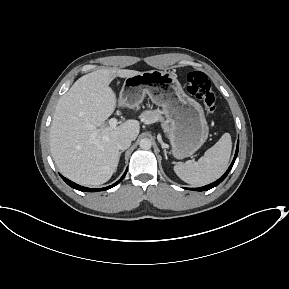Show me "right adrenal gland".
I'll return each instance as SVG.
<instances>
[{"label": "right adrenal gland", "mask_w": 289, "mask_h": 289, "mask_svg": "<svg viewBox=\"0 0 289 289\" xmlns=\"http://www.w3.org/2000/svg\"><path fill=\"white\" fill-rule=\"evenodd\" d=\"M123 152H124V151H120V152H119V158H120V156H121V154H122Z\"/></svg>", "instance_id": "obj_1"}]
</instances>
